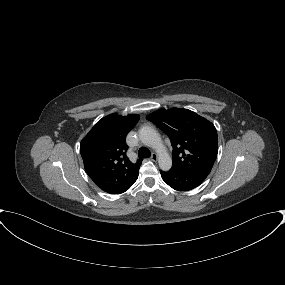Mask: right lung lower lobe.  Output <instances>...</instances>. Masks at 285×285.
<instances>
[{"instance_id": "1", "label": "right lung lower lobe", "mask_w": 285, "mask_h": 285, "mask_svg": "<svg viewBox=\"0 0 285 285\" xmlns=\"http://www.w3.org/2000/svg\"><path fill=\"white\" fill-rule=\"evenodd\" d=\"M129 188H130V187H129ZM129 188H128V189H129ZM128 189H127V190H128ZM125 191H126V190H125ZM125 191H123V192H125ZM123 192H122V193H123ZM119 194H120V193H119Z\"/></svg>"}]
</instances>
